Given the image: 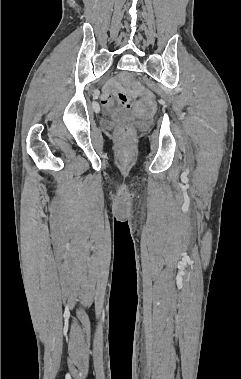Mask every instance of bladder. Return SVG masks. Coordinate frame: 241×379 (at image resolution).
Segmentation results:
<instances>
[{
    "label": "bladder",
    "mask_w": 241,
    "mask_h": 379,
    "mask_svg": "<svg viewBox=\"0 0 241 379\" xmlns=\"http://www.w3.org/2000/svg\"><path fill=\"white\" fill-rule=\"evenodd\" d=\"M110 118L114 121H125L132 119L133 115L126 111H115L110 114Z\"/></svg>",
    "instance_id": "obj_1"
}]
</instances>
